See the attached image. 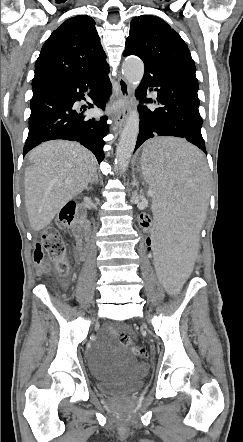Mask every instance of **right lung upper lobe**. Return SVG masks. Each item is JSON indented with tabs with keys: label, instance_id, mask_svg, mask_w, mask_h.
<instances>
[{
	"label": "right lung upper lobe",
	"instance_id": "obj_1",
	"mask_svg": "<svg viewBox=\"0 0 243 442\" xmlns=\"http://www.w3.org/2000/svg\"><path fill=\"white\" fill-rule=\"evenodd\" d=\"M108 66L94 20L75 16L66 20L44 43L35 64L33 82L82 75Z\"/></svg>",
	"mask_w": 243,
	"mask_h": 442
}]
</instances>
